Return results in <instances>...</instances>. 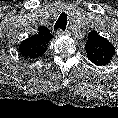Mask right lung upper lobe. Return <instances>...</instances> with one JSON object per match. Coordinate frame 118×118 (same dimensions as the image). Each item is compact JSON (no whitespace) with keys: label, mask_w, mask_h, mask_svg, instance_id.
<instances>
[{"label":"right lung upper lobe","mask_w":118,"mask_h":118,"mask_svg":"<svg viewBox=\"0 0 118 118\" xmlns=\"http://www.w3.org/2000/svg\"><path fill=\"white\" fill-rule=\"evenodd\" d=\"M52 34L45 26L40 27L39 33L33 37H29L19 46L22 56L30 59L40 57L47 49V43L52 38Z\"/></svg>","instance_id":"cb5924a9"}]
</instances>
